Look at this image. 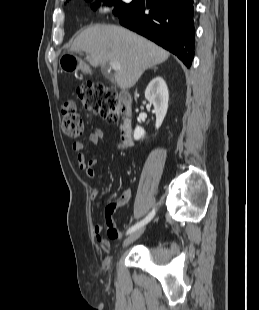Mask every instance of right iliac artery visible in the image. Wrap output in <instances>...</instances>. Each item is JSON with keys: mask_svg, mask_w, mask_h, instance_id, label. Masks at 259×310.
Listing matches in <instances>:
<instances>
[{"mask_svg": "<svg viewBox=\"0 0 259 310\" xmlns=\"http://www.w3.org/2000/svg\"><path fill=\"white\" fill-rule=\"evenodd\" d=\"M155 215V209H153L143 220L140 222L136 223L134 226H132L128 231L127 234H130L134 232L135 230L141 228L145 224H147Z\"/></svg>", "mask_w": 259, "mask_h": 310, "instance_id": "82829eb1", "label": "right iliac artery"}]
</instances>
